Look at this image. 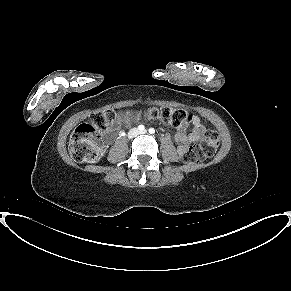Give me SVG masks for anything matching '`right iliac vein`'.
<instances>
[{
    "mask_svg": "<svg viewBox=\"0 0 291 291\" xmlns=\"http://www.w3.org/2000/svg\"><path fill=\"white\" fill-rule=\"evenodd\" d=\"M138 134V130L137 129H132L129 133H128V137L129 138H133Z\"/></svg>",
    "mask_w": 291,
    "mask_h": 291,
    "instance_id": "63e3f726",
    "label": "right iliac vein"
}]
</instances>
